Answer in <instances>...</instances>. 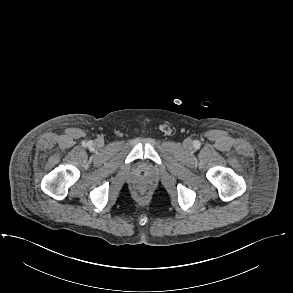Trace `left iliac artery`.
Instances as JSON below:
<instances>
[{
	"label": "left iliac artery",
	"mask_w": 293,
	"mask_h": 293,
	"mask_svg": "<svg viewBox=\"0 0 293 293\" xmlns=\"http://www.w3.org/2000/svg\"><path fill=\"white\" fill-rule=\"evenodd\" d=\"M194 146H195V147L198 146V142L195 141V142H194Z\"/></svg>",
	"instance_id": "1"
}]
</instances>
